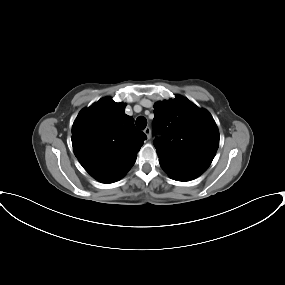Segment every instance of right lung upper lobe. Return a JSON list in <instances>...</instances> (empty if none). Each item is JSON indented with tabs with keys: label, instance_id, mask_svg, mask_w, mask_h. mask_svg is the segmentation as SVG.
<instances>
[{
	"label": "right lung upper lobe",
	"instance_id": "1",
	"mask_svg": "<svg viewBox=\"0 0 285 285\" xmlns=\"http://www.w3.org/2000/svg\"><path fill=\"white\" fill-rule=\"evenodd\" d=\"M125 104L110 97L83 109L72 127L75 156L84 169L103 183L120 180L134 165L146 135L125 114Z\"/></svg>",
	"mask_w": 285,
	"mask_h": 285
}]
</instances>
